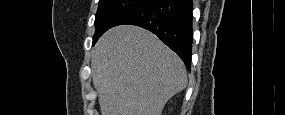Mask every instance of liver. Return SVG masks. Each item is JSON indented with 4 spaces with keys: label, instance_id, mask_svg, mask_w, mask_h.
<instances>
[{
    "label": "liver",
    "instance_id": "obj_1",
    "mask_svg": "<svg viewBox=\"0 0 285 115\" xmlns=\"http://www.w3.org/2000/svg\"><path fill=\"white\" fill-rule=\"evenodd\" d=\"M91 67L101 115H161L187 86L182 60L137 26L108 30L94 46Z\"/></svg>",
    "mask_w": 285,
    "mask_h": 115
}]
</instances>
